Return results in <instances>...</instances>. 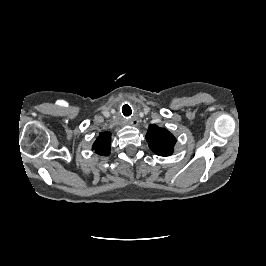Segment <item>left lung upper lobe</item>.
<instances>
[{
  "instance_id": "left-lung-upper-lobe-1",
  "label": "left lung upper lobe",
  "mask_w": 266,
  "mask_h": 266,
  "mask_svg": "<svg viewBox=\"0 0 266 266\" xmlns=\"http://www.w3.org/2000/svg\"><path fill=\"white\" fill-rule=\"evenodd\" d=\"M146 140L149 148L159 156L171 155L176 143L175 137L167 129L155 124L149 125Z\"/></svg>"
}]
</instances>
